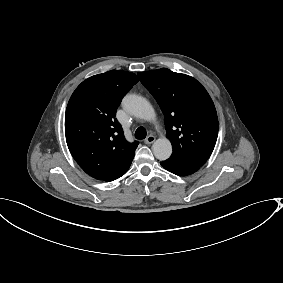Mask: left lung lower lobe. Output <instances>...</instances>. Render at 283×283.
<instances>
[{"instance_id":"0a47b994","label":"left lung lower lobe","mask_w":283,"mask_h":283,"mask_svg":"<svg viewBox=\"0 0 283 283\" xmlns=\"http://www.w3.org/2000/svg\"><path fill=\"white\" fill-rule=\"evenodd\" d=\"M160 164L169 172L179 175V176H186V175L193 174L194 172L199 170V168L201 167V166H198V165L186 162V161L174 159V158H169L161 162Z\"/></svg>"}]
</instances>
